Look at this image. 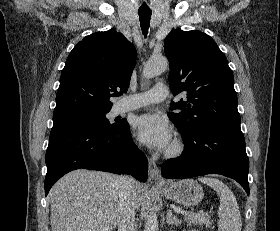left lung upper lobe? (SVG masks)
Wrapping results in <instances>:
<instances>
[{"label":"left lung upper lobe","instance_id":"left-lung-upper-lobe-1","mask_svg":"<svg viewBox=\"0 0 280 231\" xmlns=\"http://www.w3.org/2000/svg\"><path fill=\"white\" fill-rule=\"evenodd\" d=\"M170 63L169 85L174 95L170 120L181 134L218 123H240L233 72L215 41L200 31H171L164 41Z\"/></svg>","mask_w":280,"mask_h":231}]
</instances>
